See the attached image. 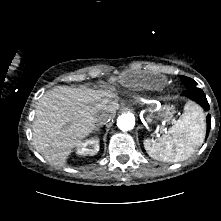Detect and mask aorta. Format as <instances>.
Returning <instances> with one entry per match:
<instances>
[{"label":"aorta","instance_id":"762f6f07","mask_svg":"<svg viewBox=\"0 0 221 221\" xmlns=\"http://www.w3.org/2000/svg\"><path fill=\"white\" fill-rule=\"evenodd\" d=\"M117 126L122 131L132 130L135 126V117L131 113L122 114L117 119Z\"/></svg>","mask_w":221,"mask_h":221}]
</instances>
